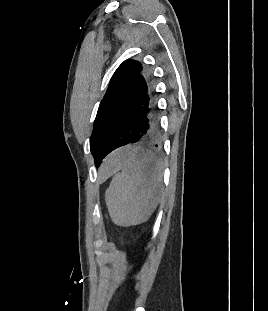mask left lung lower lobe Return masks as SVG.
Masks as SVG:
<instances>
[{"label":"left lung lower lobe","mask_w":268,"mask_h":311,"mask_svg":"<svg viewBox=\"0 0 268 311\" xmlns=\"http://www.w3.org/2000/svg\"><path fill=\"white\" fill-rule=\"evenodd\" d=\"M122 116L124 124L122 123L111 137L104 158L126 144L161 141L154 81L146 67H143L132 88L129 104L125 106Z\"/></svg>","instance_id":"1"}]
</instances>
